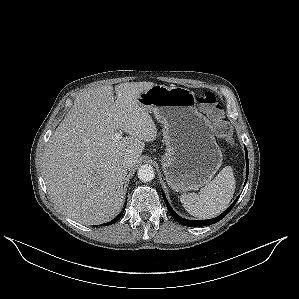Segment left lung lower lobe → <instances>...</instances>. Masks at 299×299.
Returning <instances> with one entry per match:
<instances>
[{
  "label": "left lung lower lobe",
  "mask_w": 299,
  "mask_h": 299,
  "mask_svg": "<svg viewBox=\"0 0 299 299\" xmlns=\"http://www.w3.org/2000/svg\"><path fill=\"white\" fill-rule=\"evenodd\" d=\"M245 152H246V181L245 184L247 182V178H248V172H249V163H248V153H247V149L245 147ZM165 204L167 206V209L169 210L170 214L172 215V217L180 224L184 225V226H189V227H201V226H205V225H210V224H214L218 221H220L223 217H225L230 210L233 208V206L235 205V203L237 202L239 196L236 198V200L232 203V205L226 210L224 211L221 215H219L218 217L214 218V219H209V220H198V221H191V220H186L184 218H181L180 216H178L174 210L171 208V206L169 205L165 195L162 193Z\"/></svg>",
  "instance_id": "left-lung-lower-lobe-1"
}]
</instances>
